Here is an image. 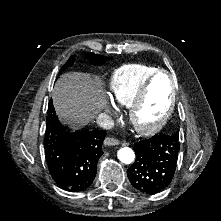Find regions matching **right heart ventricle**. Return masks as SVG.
Instances as JSON below:
<instances>
[{"mask_svg": "<svg viewBox=\"0 0 221 221\" xmlns=\"http://www.w3.org/2000/svg\"><path fill=\"white\" fill-rule=\"evenodd\" d=\"M158 70L144 64L123 65L112 73L110 89L122 106H130L141 86Z\"/></svg>", "mask_w": 221, "mask_h": 221, "instance_id": "obj_1", "label": "right heart ventricle"}]
</instances>
